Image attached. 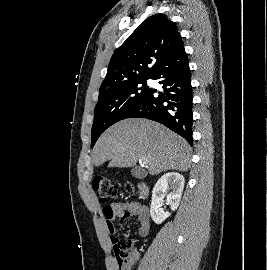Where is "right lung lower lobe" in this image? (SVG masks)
Segmentation results:
<instances>
[{"instance_id":"1","label":"right lung lower lobe","mask_w":267,"mask_h":270,"mask_svg":"<svg viewBox=\"0 0 267 270\" xmlns=\"http://www.w3.org/2000/svg\"><path fill=\"white\" fill-rule=\"evenodd\" d=\"M149 78L159 80L164 92L155 96L156 90L148 89L123 119L140 117L157 121L192 145L191 73L183 43L161 62Z\"/></svg>"}]
</instances>
